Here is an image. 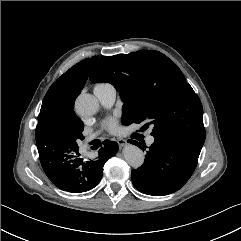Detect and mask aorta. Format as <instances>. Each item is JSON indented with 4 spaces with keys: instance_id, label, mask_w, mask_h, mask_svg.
<instances>
[{
    "instance_id": "aorta-1",
    "label": "aorta",
    "mask_w": 241,
    "mask_h": 241,
    "mask_svg": "<svg viewBox=\"0 0 241 241\" xmlns=\"http://www.w3.org/2000/svg\"><path fill=\"white\" fill-rule=\"evenodd\" d=\"M99 108L97 98L91 94H80L75 100V110L80 116L94 115ZM126 162L133 168H139L144 163V154L137 146L128 144L123 149Z\"/></svg>"
}]
</instances>
